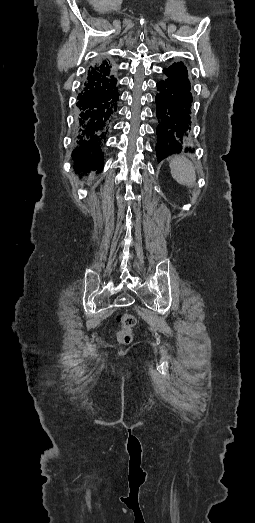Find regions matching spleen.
Returning a JSON list of instances; mask_svg holds the SVG:
<instances>
[{
    "label": "spleen",
    "instance_id": "3e777b00",
    "mask_svg": "<svg viewBox=\"0 0 255 523\" xmlns=\"http://www.w3.org/2000/svg\"><path fill=\"white\" fill-rule=\"evenodd\" d=\"M171 176L181 184V186H190L193 188L196 180L194 166L190 160L184 156H175L170 162Z\"/></svg>",
    "mask_w": 255,
    "mask_h": 523
}]
</instances>
